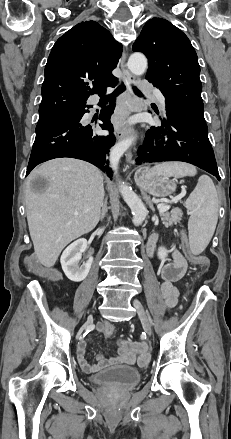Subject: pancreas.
I'll return each mask as SVG.
<instances>
[{"instance_id":"pancreas-1","label":"pancreas","mask_w":231,"mask_h":439,"mask_svg":"<svg viewBox=\"0 0 231 439\" xmlns=\"http://www.w3.org/2000/svg\"><path fill=\"white\" fill-rule=\"evenodd\" d=\"M182 213L179 209H173L170 213L164 212L160 214L162 223L168 227L177 224L181 220Z\"/></svg>"}]
</instances>
